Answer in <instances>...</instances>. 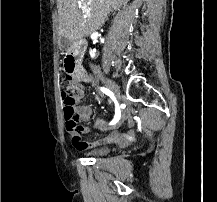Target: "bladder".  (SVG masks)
Segmentation results:
<instances>
[{
  "instance_id": "1",
  "label": "bladder",
  "mask_w": 217,
  "mask_h": 202,
  "mask_svg": "<svg viewBox=\"0 0 217 202\" xmlns=\"http://www.w3.org/2000/svg\"><path fill=\"white\" fill-rule=\"evenodd\" d=\"M107 151V146H101L94 149H90L87 153L91 156H99L101 153Z\"/></svg>"
}]
</instances>
